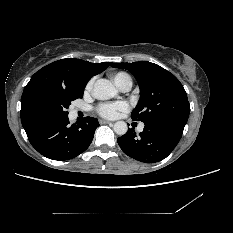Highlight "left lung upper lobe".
<instances>
[{
    "label": "left lung upper lobe",
    "instance_id": "1",
    "mask_svg": "<svg viewBox=\"0 0 233 233\" xmlns=\"http://www.w3.org/2000/svg\"><path fill=\"white\" fill-rule=\"evenodd\" d=\"M110 64L130 71L139 83L141 97L132 111L134 121L184 129L190 104L182 84L172 73L147 61Z\"/></svg>",
    "mask_w": 233,
    "mask_h": 233
}]
</instances>
